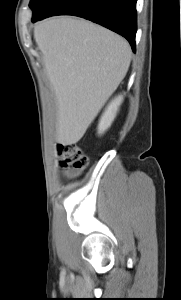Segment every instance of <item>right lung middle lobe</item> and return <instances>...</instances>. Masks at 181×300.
Wrapping results in <instances>:
<instances>
[{"mask_svg": "<svg viewBox=\"0 0 181 300\" xmlns=\"http://www.w3.org/2000/svg\"><path fill=\"white\" fill-rule=\"evenodd\" d=\"M57 0H31L29 7L33 11V17L41 15L47 8H49Z\"/></svg>", "mask_w": 181, "mask_h": 300, "instance_id": "obj_1", "label": "right lung middle lobe"}]
</instances>
